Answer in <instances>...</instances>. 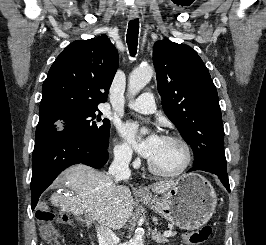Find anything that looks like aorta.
<instances>
[{
	"instance_id": "1",
	"label": "aorta",
	"mask_w": 266,
	"mask_h": 245,
	"mask_svg": "<svg viewBox=\"0 0 266 245\" xmlns=\"http://www.w3.org/2000/svg\"><path fill=\"white\" fill-rule=\"evenodd\" d=\"M153 70L152 66H138L130 72L128 80V92L129 96H136L140 92L141 88H144L152 78ZM144 229L137 227L135 229L134 237L131 245H144Z\"/></svg>"
}]
</instances>
